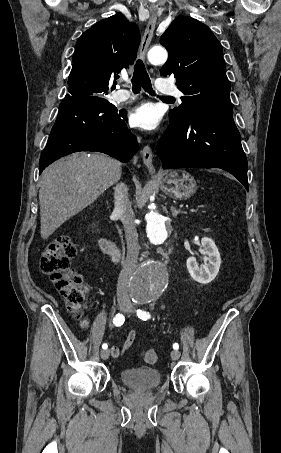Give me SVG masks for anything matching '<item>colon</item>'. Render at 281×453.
I'll return each mask as SVG.
<instances>
[{
    "label": "colon",
    "mask_w": 281,
    "mask_h": 453,
    "mask_svg": "<svg viewBox=\"0 0 281 453\" xmlns=\"http://www.w3.org/2000/svg\"><path fill=\"white\" fill-rule=\"evenodd\" d=\"M79 255L80 249L71 239L63 237L52 239L43 246L41 268L44 272L51 274L70 308L74 312L83 314L87 310L85 304L87 286L70 266V259ZM141 358L145 363L160 361L158 352L152 349H142Z\"/></svg>",
    "instance_id": "5ec220e1"
}]
</instances>
